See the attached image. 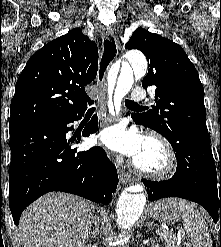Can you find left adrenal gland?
<instances>
[{"label":"left adrenal gland","instance_id":"left-adrenal-gland-1","mask_svg":"<svg viewBox=\"0 0 221 247\" xmlns=\"http://www.w3.org/2000/svg\"><path fill=\"white\" fill-rule=\"evenodd\" d=\"M146 226L152 228V230L154 229V227H153V222H147V223H146Z\"/></svg>","mask_w":221,"mask_h":247}]
</instances>
